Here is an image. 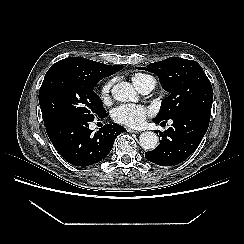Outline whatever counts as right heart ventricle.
I'll use <instances>...</instances> for the list:
<instances>
[{"mask_svg":"<svg viewBox=\"0 0 244 244\" xmlns=\"http://www.w3.org/2000/svg\"><path fill=\"white\" fill-rule=\"evenodd\" d=\"M150 76L144 73H134L131 75L133 85L139 89Z\"/></svg>","mask_w":244,"mask_h":244,"instance_id":"right-heart-ventricle-1","label":"right heart ventricle"}]
</instances>
